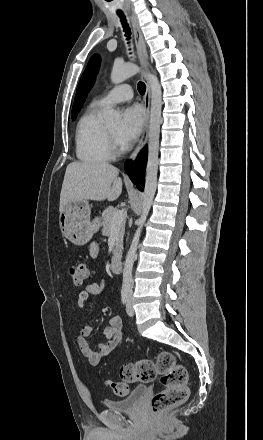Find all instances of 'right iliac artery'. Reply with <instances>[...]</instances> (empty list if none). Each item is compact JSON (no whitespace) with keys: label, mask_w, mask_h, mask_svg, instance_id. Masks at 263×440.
Instances as JSON below:
<instances>
[{"label":"right iliac artery","mask_w":263,"mask_h":440,"mask_svg":"<svg viewBox=\"0 0 263 440\" xmlns=\"http://www.w3.org/2000/svg\"><path fill=\"white\" fill-rule=\"evenodd\" d=\"M128 295H129V289L128 288H123L121 290V301L122 303L125 305L127 304L128 301Z\"/></svg>","instance_id":"obj_1"}]
</instances>
